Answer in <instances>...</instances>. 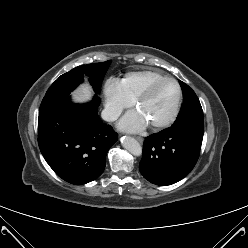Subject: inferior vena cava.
Segmentation results:
<instances>
[{"label":"inferior vena cava","mask_w":248,"mask_h":248,"mask_svg":"<svg viewBox=\"0 0 248 248\" xmlns=\"http://www.w3.org/2000/svg\"><path fill=\"white\" fill-rule=\"evenodd\" d=\"M121 111L114 108L106 107L103 109L101 116L105 121H115L120 116Z\"/></svg>","instance_id":"602c4592"}]
</instances>
